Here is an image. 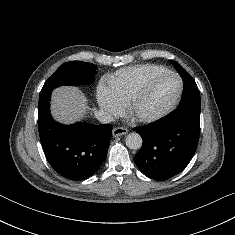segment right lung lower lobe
<instances>
[{
  "mask_svg": "<svg viewBox=\"0 0 235 235\" xmlns=\"http://www.w3.org/2000/svg\"><path fill=\"white\" fill-rule=\"evenodd\" d=\"M51 92L39 96L38 129L49 164L70 180L92 176L104 162L112 125L78 122L63 125L50 114Z\"/></svg>",
  "mask_w": 235,
  "mask_h": 235,
  "instance_id": "obj_1",
  "label": "right lung lower lobe"
}]
</instances>
